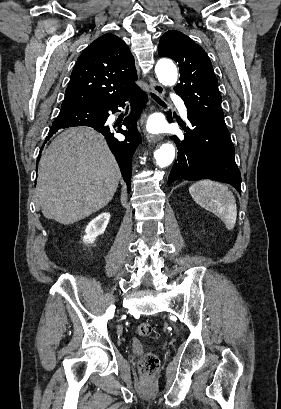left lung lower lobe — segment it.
Listing matches in <instances>:
<instances>
[{"label": "left lung lower lobe", "instance_id": "0a47b994", "mask_svg": "<svg viewBox=\"0 0 281 409\" xmlns=\"http://www.w3.org/2000/svg\"><path fill=\"white\" fill-rule=\"evenodd\" d=\"M187 113L193 129L184 138L172 137L178 148V160L172 167L168 185L179 179H213L229 183L241 192L240 171L226 124L190 109ZM168 119L171 121L170 116Z\"/></svg>", "mask_w": 281, "mask_h": 409}]
</instances>
